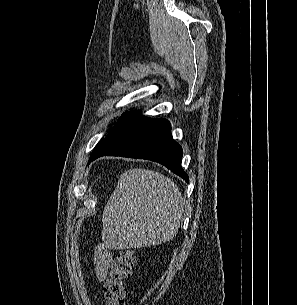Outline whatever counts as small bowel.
Masks as SVG:
<instances>
[{
    "label": "small bowel",
    "mask_w": 297,
    "mask_h": 305,
    "mask_svg": "<svg viewBox=\"0 0 297 305\" xmlns=\"http://www.w3.org/2000/svg\"><path fill=\"white\" fill-rule=\"evenodd\" d=\"M112 252L107 244L99 245L94 252V268L99 281H103L109 271Z\"/></svg>",
    "instance_id": "c3829d8e"
}]
</instances>
